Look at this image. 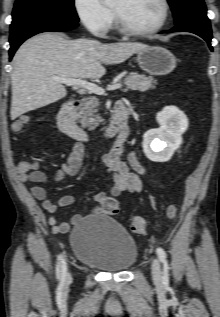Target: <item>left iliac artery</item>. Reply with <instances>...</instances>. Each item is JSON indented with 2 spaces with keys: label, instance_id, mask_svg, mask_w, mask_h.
<instances>
[{
  "label": "left iliac artery",
  "instance_id": "1",
  "mask_svg": "<svg viewBox=\"0 0 220 317\" xmlns=\"http://www.w3.org/2000/svg\"><path fill=\"white\" fill-rule=\"evenodd\" d=\"M156 252L159 257V260L163 263V268H164L163 275H164V278L166 279L168 277V270H169L166 252L161 247H158L156 249Z\"/></svg>",
  "mask_w": 220,
  "mask_h": 317
}]
</instances>
